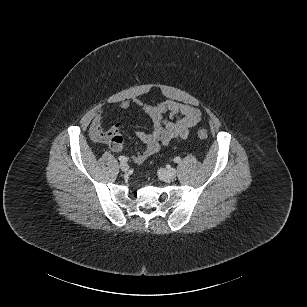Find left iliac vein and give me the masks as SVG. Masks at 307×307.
Listing matches in <instances>:
<instances>
[{"mask_svg":"<svg viewBox=\"0 0 307 307\" xmlns=\"http://www.w3.org/2000/svg\"><path fill=\"white\" fill-rule=\"evenodd\" d=\"M176 168L162 169L160 170L161 178L165 181H171L176 177Z\"/></svg>","mask_w":307,"mask_h":307,"instance_id":"obj_1","label":"left iliac vein"}]
</instances>
